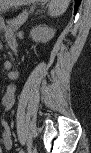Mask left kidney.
I'll return each instance as SVG.
<instances>
[{"instance_id":"5707ae66","label":"left kidney","mask_w":91,"mask_h":153,"mask_svg":"<svg viewBox=\"0 0 91 153\" xmlns=\"http://www.w3.org/2000/svg\"><path fill=\"white\" fill-rule=\"evenodd\" d=\"M55 31L46 25L35 27L31 30L32 39L36 42L46 43L54 37Z\"/></svg>"}]
</instances>
